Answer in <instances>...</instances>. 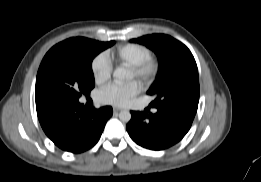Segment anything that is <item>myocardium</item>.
Wrapping results in <instances>:
<instances>
[{
	"mask_svg": "<svg viewBox=\"0 0 261 182\" xmlns=\"http://www.w3.org/2000/svg\"><path fill=\"white\" fill-rule=\"evenodd\" d=\"M130 70L143 85H149L158 75L159 63L157 60L149 57L139 64L131 66Z\"/></svg>",
	"mask_w": 261,
	"mask_h": 182,
	"instance_id": "f54148a6",
	"label": "myocardium"
}]
</instances>
